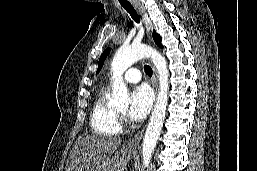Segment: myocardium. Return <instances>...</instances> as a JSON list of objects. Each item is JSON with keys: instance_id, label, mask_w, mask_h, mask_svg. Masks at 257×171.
I'll return each mask as SVG.
<instances>
[{"instance_id": "obj_1", "label": "myocardium", "mask_w": 257, "mask_h": 171, "mask_svg": "<svg viewBox=\"0 0 257 171\" xmlns=\"http://www.w3.org/2000/svg\"><path fill=\"white\" fill-rule=\"evenodd\" d=\"M118 117H119V123L120 125L122 126H126L128 124V121H127V118H126V115L123 114V113H118Z\"/></svg>"}]
</instances>
